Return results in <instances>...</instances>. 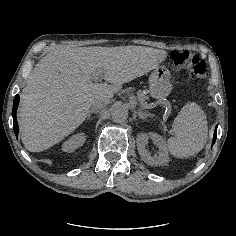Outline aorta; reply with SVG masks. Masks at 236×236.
I'll list each match as a JSON object with an SVG mask.
<instances>
[{
  "label": "aorta",
  "mask_w": 236,
  "mask_h": 236,
  "mask_svg": "<svg viewBox=\"0 0 236 236\" xmlns=\"http://www.w3.org/2000/svg\"><path fill=\"white\" fill-rule=\"evenodd\" d=\"M111 117L116 123L125 122L128 118V110L123 106H115L112 108Z\"/></svg>",
  "instance_id": "762f6f07"
}]
</instances>
